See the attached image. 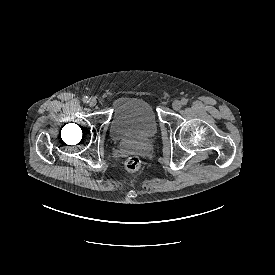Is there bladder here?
<instances>
[{"label":"bladder","mask_w":275,"mask_h":275,"mask_svg":"<svg viewBox=\"0 0 275 275\" xmlns=\"http://www.w3.org/2000/svg\"><path fill=\"white\" fill-rule=\"evenodd\" d=\"M157 130L156 114L146 100L133 96H122L116 100L109 122V133L114 140L146 139Z\"/></svg>","instance_id":"obj_1"}]
</instances>
